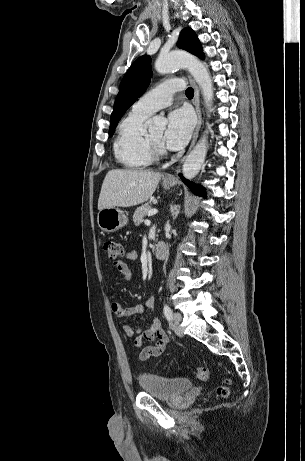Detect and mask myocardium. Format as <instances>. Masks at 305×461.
<instances>
[{
  "label": "myocardium",
  "instance_id": "myocardium-1",
  "mask_svg": "<svg viewBox=\"0 0 305 461\" xmlns=\"http://www.w3.org/2000/svg\"><path fill=\"white\" fill-rule=\"evenodd\" d=\"M146 140H147V144H148V147L150 149V152H151V154L153 155L154 158L157 159V158L163 157L166 154V151H165L163 145L154 142L151 139L150 135H147Z\"/></svg>",
  "mask_w": 305,
  "mask_h": 461
}]
</instances>
